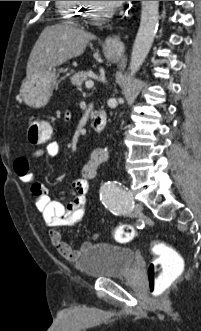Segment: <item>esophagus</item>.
Wrapping results in <instances>:
<instances>
[{
  "label": "esophagus",
  "mask_w": 201,
  "mask_h": 331,
  "mask_svg": "<svg viewBox=\"0 0 201 331\" xmlns=\"http://www.w3.org/2000/svg\"><path fill=\"white\" fill-rule=\"evenodd\" d=\"M104 47L113 54H122L125 51L124 43L119 34L107 37L104 42Z\"/></svg>",
  "instance_id": "esophagus-1"
}]
</instances>
